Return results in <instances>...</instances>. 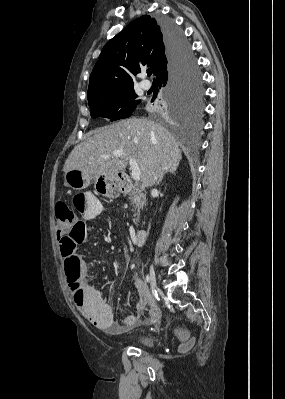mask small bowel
<instances>
[{"mask_svg": "<svg viewBox=\"0 0 285 399\" xmlns=\"http://www.w3.org/2000/svg\"><path fill=\"white\" fill-rule=\"evenodd\" d=\"M103 210L101 202L93 195L88 193L87 203L81 212L83 229L87 232L86 221L94 220ZM78 276L79 289L83 293L82 302L79 301V289L73 291L70 289V295L79 308L81 314L96 327L114 334H123L132 329L149 325L159 320L160 310L154 304L142 279L134 276V285L139 293V301L135 306V315L125 316L119 323L115 322V317L111 306L104 300L101 292L92 287L88 281V267L81 257H75L69 266L65 265Z\"/></svg>", "mask_w": 285, "mask_h": 399, "instance_id": "1", "label": "small bowel"}]
</instances>
